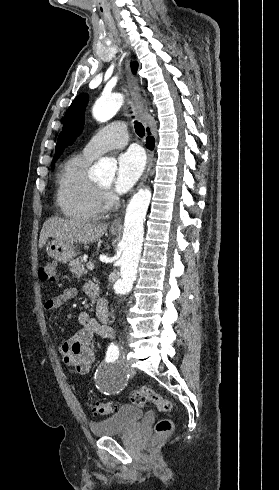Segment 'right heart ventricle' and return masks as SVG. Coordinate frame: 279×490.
Listing matches in <instances>:
<instances>
[{"instance_id": "1", "label": "right heart ventricle", "mask_w": 279, "mask_h": 490, "mask_svg": "<svg viewBox=\"0 0 279 490\" xmlns=\"http://www.w3.org/2000/svg\"><path fill=\"white\" fill-rule=\"evenodd\" d=\"M91 161L92 159L80 154L68 159L61 168L57 201L67 219L85 222L100 214V190L87 176Z\"/></svg>"}]
</instances>
